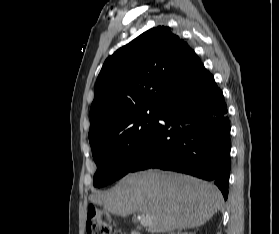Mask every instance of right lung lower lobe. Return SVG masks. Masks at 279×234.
Segmentation results:
<instances>
[{
  "instance_id": "right-lung-lower-lobe-1",
  "label": "right lung lower lobe",
  "mask_w": 279,
  "mask_h": 234,
  "mask_svg": "<svg viewBox=\"0 0 279 234\" xmlns=\"http://www.w3.org/2000/svg\"><path fill=\"white\" fill-rule=\"evenodd\" d=\"M148 168L214 181L227 199L230 122L223 93L203 64L159 108L156 128L130 172Z\"/></svg>"
}]
</instances>
